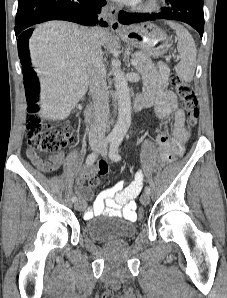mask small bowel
Instances as JSON below:
<instances>
[{
  "mask_svg": "<svg viewBox=\"0 0 227 298\" xmlns=\"http://www.w3.org/2000/svg\"><path fill=\"white\" fill-rule=\"evenodd\" d=\"M168 70L160 64L156 73L150 76L145 85V91L139 95L145 101V108L154 106L155 117L158 121L156 128V145L165 162H176L187 142L190 130L185 122V113L179 106L174 92L166 90ZM173 119L172 134L162 127L163 122ZM27 157L39 170L51 173L65 165L62 154L52 155L48 161L42 159L35 150L28 149ZM94 172L90 166L82 167L75 181L76 191L85 205L91 197V191L83 186V181ZM144 182L142 172L135 174L134 180L127 186L123 181H118L109 188L101 191L94 199L92 208L86 210L85 219L94 216H117L127 220H136L135 199L140 194Z\"/></svg>",
  "mask_w": 227,
  "mask_h": 298,
  "instance_id": "small-bowel-1",
  "label": "small bowel"
}]
</instances>
